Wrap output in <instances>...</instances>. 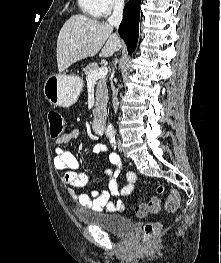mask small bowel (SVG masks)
Instances as JSON below:
<instances>
[{"mask_svg": "<svg viewBox=\"0 0 221 263\" xmlns=\"http://www.w3.org/2000/svg\"><path fill=\"white\" fill-rule=\"evenodd\" d=\"M80 135L77 128L64 133L61 137L52 143V151L54 154L53 164L56 170L62 174L59 181L68 190L71 199L82 209L94 212L115 213L122 212L125 209L121 196L131 195L134 191L137 176L134 172L129 171L125 175V184L122 187L118 185V177L121 173V159L115 153L109 154V161L115 166L114 170H107V188L102 192H93L91 195L77 191L87 184V175L78 171V160L69 151H65L62 146L76 139ZM95 154H104L107 152L106 146L98 141L93 146Z\"/></svg>", "mask_w": 221, "mask_h": 263, "instance_id": "obj_1", "label": "small bowel"}]
</instances>
